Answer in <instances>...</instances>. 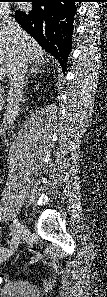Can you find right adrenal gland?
Listing matches in <instances>:
<instances>
[{
  "instance_id": "1",
  "label": "right adrenal gland",
  "mask_w": 107,
  "mask_h": 297,
  "mask_svg": "<svg viewBox=\"0 0 107 297\" xmlns=\"http://www.w3.org/2000/svg\"><path fill=\"white\" fill-rule=\"evenodd\" d=\"M43 71H44V70H40V69H39V67H38L37 64L32 65L31 68L29 69V72H28L27 76H26L25 86L28 85V83H29V78H30L31 76L36 77V75H37L38 73H42Z\"/></svg>"
}]
</instances>
